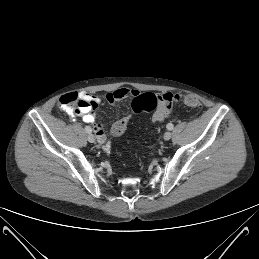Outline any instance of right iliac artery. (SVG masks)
Masks as SVG:
<instances>
[{"mask_svg": "<svg viewBox=\"0 0 259 259\" xmlns=\"http://www.w3.org/2000/svg\"><path fill=\"white\" fill-rule=\"evenodd\" d=\"M85 131H86L87 133H91L92 129H91L90 126H86V127H85Z\"/></svg>", "mask_w": 259, "mask_h": 259, "instance_id": "82829eb1", "label": "right iliac artery"}]
</instances>
